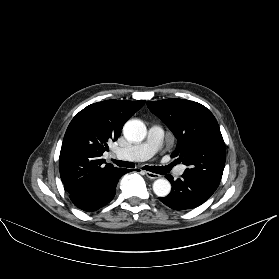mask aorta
Segmentation results:
<instances>
[{
  "label": "aorta",
  "instance_id": "obj_1",
  "mask_svg": "<svg viewBox=\"0 0 279 279\" xmlns=\"http://www.w3.org/2000/svg\"><path fill=\"white\" fill-rule=\"evenodd\" d=\"M123 134L128 141L140 142L146 136V127L140 120H129L123 127ZM153 191L159 197H166L171 191V184L167 179H157L153 183Z\"/></svg>",
  "mask_w": 279,
  "mask_h": 279
}]
</instances>
